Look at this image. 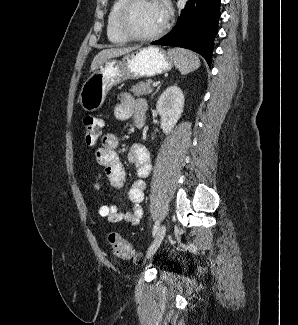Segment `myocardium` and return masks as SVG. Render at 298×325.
Returning a JSON list of instances; mask_svg holds the SVG:
<instances>
[{"instance_id":"obj_1","label":"myocardium","mask_w":298,"mask_h":325,"mask_svg":"<svg viewBox=\"0 0 298 325\" xmlns=\"http://www.w3.org/2000/svg\"><path fill=\"white\" fill-rule=\"evenodd\" d=\"M142 0H126L124 2V4L122 5L117 19H116V28L119 32V34L121 36H123L124 38H126L129 41H135V42H150V41H154L156 40L158 37H160L166 30L167 25H168V14L166 11V7L165 4L161 1V0H152L155 3H157L158 5H160L164 12H165V22L162 25V27L160 29H158L157 31H155L154 33L148 35V36H144V37H139L134 35L125 25V19L126 16L129 12V10L138 2H140Z\"/></svg>"}]
</instances>
